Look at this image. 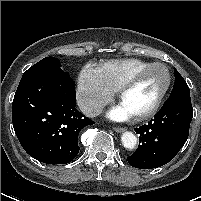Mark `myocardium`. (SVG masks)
I'll list each match as a JSON object with an SVG mask.
<instances>
[{
	"label": "myocardium",
	"instance_id": "1",
	"mask_svg": "<svg viewBox=\"0 0 201 201\" xmlns=\"http://www.w3.org/2000/svg\"><path fill=\"white\" fill-rule=\"evenodd\" d=\"M155 67H162L165 72H166V84L164 86V88L162 89V91L160 92V94L158 95L157 99L155 100V102L153 103V105L148 108L146 111L133 115L134 118L136 120L142 121V120H146L149 119L151 117H153L160 109V107L162 106V103L166 97V95L168 94L171 84H172V74L171 71L169 69V67L164 64V63H160V62H156V63H151L150 65H148L145 68H142L141 70L137 71L136 73H134L132 76H130L119 88L118 90V98L119 101L121 102L124 95L126 94V92L132 88L143 76H145L151 69L155 68Z\"/></svg>",
	"mask_w": 201,
	"mask_h": 201
}]
</instances>
